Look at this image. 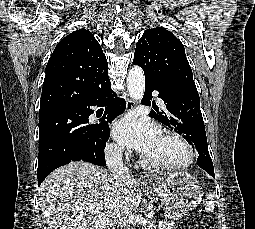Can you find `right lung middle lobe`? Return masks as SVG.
<instances>
[{
	"label": "right lung middle lobe",
	"instance_id": "right-lung-middle-lobe-1",
	"mask_svg": "<svg viewBox=\"0 0 255 229\" xmlns=\"http://www.w3.org/2000/svg\"><path fill=\"white\" fill-rule=\"evenodd\" d=\"M39 171L57 168L79 158L95 159L104 153L105 141L96 125L76 111L39 119Z\"/></svg>",
	"mask_w": 255,
	"mask_h": 229
}]
</instances>
